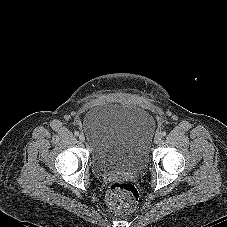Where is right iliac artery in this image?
Instances as JSON below:
<instances>
[{
    "label": "right iliac artery",
    "mask_w": 227,
    "mask_h": 227,
    "mask_svg": "<svg viewBox=\"0 0 227 227\" xmlns=\"http://www.w3.org/2000/svg\"><path fill=\"white\" fill-rule=\"evenodd\" d=\"M74 134H75L76 136H78V135H79V132H78V131H75Z\"/></svg>",
    "instance_id": "right-iliac-artery-1"
}]
</instances>
